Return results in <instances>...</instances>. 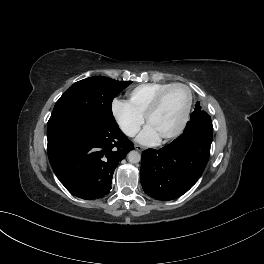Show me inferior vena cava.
I'll return each instance as SVG.
<instances>
[{"mask_svg": "<svg viewBox=\"0 0 264 264\" xmlns=\"http://www.w3.org/2000/svg\"><path fill=\"white\" fill-rule=\"evenodd\" d=\"M122 130L127 136L133 137L138 133L139 128L136 126H124Z\"/></svg>", "mask_w": 264, "mask_h": 264, "instance_id": "inferior-vena-cava-1", "label": "inferior vena cava"}]
</instances>
